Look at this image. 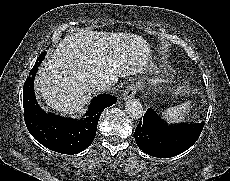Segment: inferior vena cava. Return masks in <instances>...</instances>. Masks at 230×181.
Instances as JSON below:
<instances>
[{"mask_svg": "<svg viewBox=\"0 0 230 181\" xmlns=\"http://www.w3.org/2000/svg\"><path fill=\"white\" fill-rule=\"evenodd\" d=\"M116 82L117 79L115 78H104L97 80L91 85L92 93L99 94L101 92L108 91Z\"/></svg>", "mask_w": 230, "mask_h": 181, "instance_id": "inferior-vena-cava-1", "label": "inferior vena cava"}]
</instances>
